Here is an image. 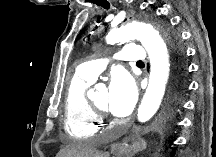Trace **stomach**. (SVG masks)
Instances as JSON below:
<instances>
[{"instance_id":"0dacf381","label":"stomach","mask_w":216,"mask_h":157,"mask_svg":"<svg viewBox=\"0 0 216 157\" xmlns=\"http://www.w3.org/2000/svg\"><path fill=\"white\" fill-rule=\"evenodd\" d=\"M146 148V142L141 138H133L130 142L125 143L122 152L127 155H133L134 153Z\"/></svg>"}]
</instances>
